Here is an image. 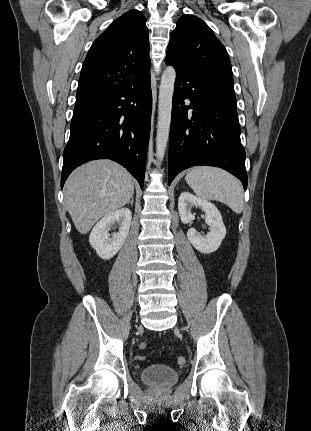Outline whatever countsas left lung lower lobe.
I'll return each mask as SVG.
<instances>
[{"instance_id":"1","label":"left lung lower lobe","mask_w":311,"mask_h":431,"mask_svg":"<svg viewBox=\"0 0 311 431\" xmlns=\"http://www.w3.org/2000/svg\"><path fill=\"white\" fill-rule=\"evenodd\" d=\"M174 68L169 185L186 168L210 165L239 178L246 190V154L240 141L234 85ZM185 99L190 105H185Z\"/></svg>"}]
</instances>
